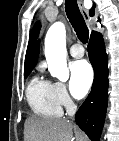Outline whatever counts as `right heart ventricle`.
Listing matches in <instances>:
<instances>
[{"label": "right heart ventricle", "mask_w": 119, "mask_h": 141, "mask_svg": "<svg viewBox=\"0 0 119 141\" xmlns=\"http://www.w3.org/2000/svg\"><path fill=\"white\" fill-rule=\"evenodd\" d=\"M26 95L34 114L46 118L61 116L62 105L57 98L53 82L35 76L28 84Z\"/></svg>", "instance_id": "right-heart-ventricle-1"}]
</instances>
